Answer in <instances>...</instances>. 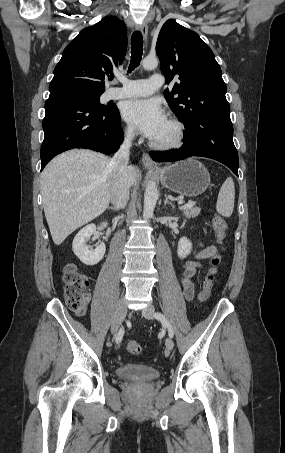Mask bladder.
Segmentation results:
<instances>
[{
	"label": "bladder",
	"instance_id": "obj_1",
	"mask_svg": "<svg viewBox=\"0 0 285 453\" xmlns=\"http://www.w3.org/2000/svg\"><path fill=\"white\" fill-rule=\"evenodd\" d=\"M116 374L121 379L141 383L154 381L160 376V372L156 368L136 363L119 366Z\"/></svg>",
	"mask_w": 285,
	"mask_h": 453
}]
</instances>
